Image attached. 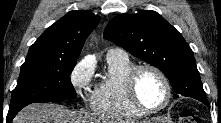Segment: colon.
Masks as SVG:
<instances>
[{
    "mask_svg": "<svg viewBox=\"0 0 221 123\" xmlns=\"http://www.w3.org/2000/svg\"><path fill=\"white\" fill-rule=\"evenodd\" d=\"M201 118L192 111H182L179 117V123H201Z\"/></svg>",
    "mask_w": 221,
    "mask_h": 123,
    "instance_id": "colon-1",
    "label": "colon"
}]
</instances>
